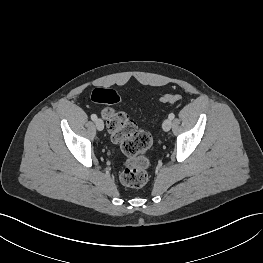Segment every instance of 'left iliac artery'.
I'll return each mask as SVG.
<instances>
[{
	"label": "left iliac artery",
	"instance_id": "obj_1",
	"mask_svg": "<svg viewBox=\"0 0 263 263\" xmlns=\"http://www.w3.org/2000/svg\"><path fill=\"white\" fill-rule=\"evenodd\" d=\"M168 117H169V119L172 120V119H174L175 115H174V113H170Z\"/></svg>",
	"mask_w": 263,
	"mask_h": 263
}]
</instances>
